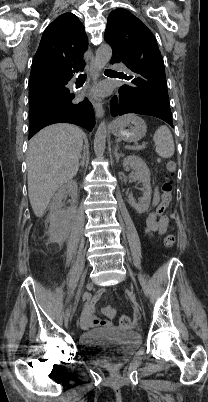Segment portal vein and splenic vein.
I'll list each match as a JSON object with an SVG mask.
<instances>
[{
	"instance_id": "18ae733b",
	"label": "portal vein and splenic vein",
	"mask_w": 208,
	"mask_h": 402,
	"mask_svg": "<svg viewBox=\"0 0 208 402\" xmlns=\"http://www.w3.org/2000/svg\"><path fill=\"white\" fill-rule=\"evenodd\" d=\"M127 150H140V149H145L146 145L145 142L143 144H131L130 148L129 146H126Z\"/></svg>"
}]
</instances>
